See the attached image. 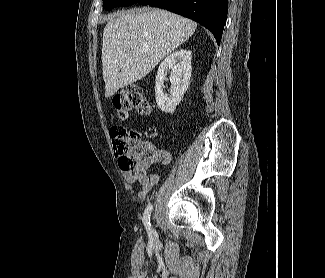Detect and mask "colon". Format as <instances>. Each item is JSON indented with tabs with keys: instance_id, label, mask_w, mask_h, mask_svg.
Masks as SVG:
<instances>
[{
	"instance_id": "1",
	"label": "colon",
	"mask_w": 325,
	"mask_h": 278,
	"mask_svg": "<svg viewBox=\"0 0 325 278\" xmlns=\"http://www.w3.org/2000/svg\"><path fill=\"white\" fill-rule=\"evenodd\" d=\"M112 103L121 119H126L131 111L148 114L151 109L149 100L140 87L132 86L114 94ZM114 153L125 170H134L148 151V146L141 140L136 129H127L117 125L111 128Z\"/></svg>"
}]
</instances>
